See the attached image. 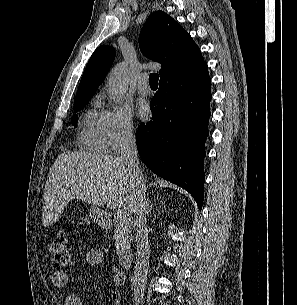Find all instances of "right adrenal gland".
<instances>
[{"label": "right adrenal gland", "instance_id": "obj_1", "mask_svg": "<svg viewBox=\"0 0 297 305\" xmlns=\"http://www.w3.org/2000/svg\"><path fill=\"white\" fill-rule=\"evenodd\" d=\"M152 208H153V205H152L151 202L149 201V202H148V207H147L148 214L151 212Z\"/></svg>", "mask_w": 297, "mask_h": 305}]
</instances>
